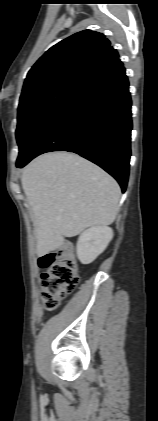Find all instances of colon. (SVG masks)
Returning a JSON list of instances; mask_svg holds the SVG:
<instances>
[{
  "mask_svg": "<svg viewBox=\"0 0 158 421\" xmlns=\"http://www.w3.org/2000/svg\"><path fill=\"white\" fill-rule=\"evenodd\" d=\"M39 265L45 269L41 276V299L46 309L53 310L79 283L73 247L65 244L57 251L41 256Z\"/></svg>",
  "mask_w": 158,
  "mask_h": 421,
  "instance_id": "1",
  "label": "colon"
}]
</instances>
